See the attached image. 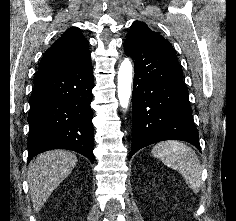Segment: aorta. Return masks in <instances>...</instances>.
<instances>
[{"instance_id":"1","label":"aorta","mask_w":236,"mask_h":221,"mask_svg":"<svg viewBox=\"0 0 236 221\" xmlns=\"http://www.w3.org/2000/svg\"><path fill=\"white\" fill-rule=\"evenodd\" d=\"M133 67L131 61L125 58L118 71V99L122 108H127L131 96Z\"/></svg>"}]
</instances>
